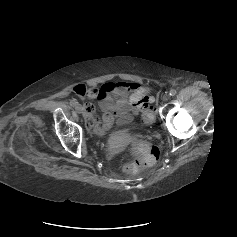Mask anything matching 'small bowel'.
<instances>
[{
    "label": "small bowel",
    "instance_id": "small-bowel-1",
    "mask_svg": "<svg viewBox=\"0 0 237 237\" xmlns=\"http://www.w3.org/2000/svg\"><path fill=\"white\" fill-rule=\"evenodd\" d=\"M73 91L81 98L96 99L103 112L101 120L96 118L94 105L88 103L84 108L87 128L103 135L114 125H124L145 111L149 102L147 90L136 82L105 83L100 87H86L78 84Z\"/></svg>",
    "mask_w": 237,
    "mask_h": 237
}]
</instances>
